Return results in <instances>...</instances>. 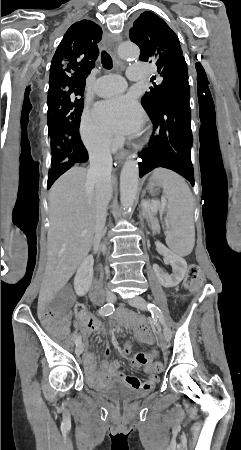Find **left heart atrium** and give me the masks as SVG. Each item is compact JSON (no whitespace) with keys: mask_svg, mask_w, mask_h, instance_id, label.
Wrapping results in <instances>:
<instances>
[{"mask_svg":"<svg viewBox=\"0 0 241 450\" xmlns=\"http://www.w3.org/2000/svg\"><path fill=\"white\" fill-rule=\"evenodd\" d=\"M93 118L101 127L121 137L135 133L144 121L142 110L130 96L116 98L114 102L105 100L97 103Z\"/></svg>","mask_w":241,"mask_h":450,"instance_id":"obj_1","label":"left heart atrium"}]
</instances>
